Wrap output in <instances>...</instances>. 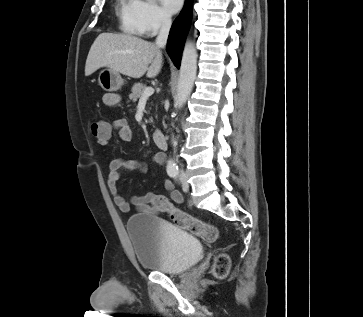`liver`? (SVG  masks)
<instances>
[{
	"mask_svg": "<svg viewBox=\"0 0 363 317\" xmlns=\"http://www.w3.org/2000/svg\"><path fill=\"white\" fill-rule=\"evenodd\" d=\"M162 65V52L156 44L131 35L101 33L88 53L85 76L107 67L132 78H140L146 72L152 78L159 74Z\"/></svg>",
	"mask_w": 363,
	"mask_h": 317,
	"instance_id": "obj_1",
	"label": "liver"
}]
</instances>
